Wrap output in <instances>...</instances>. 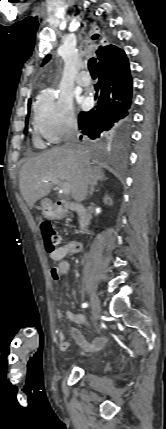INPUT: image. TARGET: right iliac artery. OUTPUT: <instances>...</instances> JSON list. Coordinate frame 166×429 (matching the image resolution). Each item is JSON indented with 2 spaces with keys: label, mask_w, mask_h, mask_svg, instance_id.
Here are the masks:
<instances>
[{
  "label": "right iliac artery",
  "mask_w": 166,
  "mask_h": 429,
  "mask_svg": "<svg viewBox=\"0 0 166 429\" xmlns=\"http://www.w3.org/2000/svg\"><path fill=\"white\" fill-rule=\"evenodd\" d=\"M82 307H83V308H86V307H88V304H87V303H83V304H82Z\"/></svg>",
  "instance_id": "obj_1"
}]
</instances>
